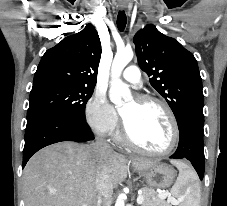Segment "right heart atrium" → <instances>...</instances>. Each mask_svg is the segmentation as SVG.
<instances>
[{
    "instance_id": "d8ad5b80",
    "label": "right heart atrium",
    "mask_w": 227,
    "mask_h": 206,
    "mask_svg": "<svg viewBox=\"0 0 227 206\" xmlns=\"http://www.w3.org/2000/svg\"><path fill=\"white\" fill-rule=\"evenodd\" d=\"M86 120L94 133L100 136L113 134L119 126V116L113 105L100 93L94 94L86 104Z\"/></svg>"
}]
</instances>
